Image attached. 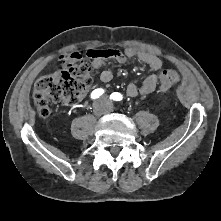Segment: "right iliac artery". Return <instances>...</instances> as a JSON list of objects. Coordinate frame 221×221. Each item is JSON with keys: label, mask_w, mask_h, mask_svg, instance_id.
I'll return each instance as SVG.
<instances>
[{"label": "right iliac artery", "mask_w": 221, "mask_h": 221, "mask_svg": "<svg viewBox=\"0 0 221 221\" xmlns=\"http://www.w3.org/2000/svg\"><path fill=\"white\" fill-rule=\"evenodd\" d=\"M104 93V90L102 88L95 89L91 93V99H97Z\"/></svg>", "instance_id": "obj_1"}]
</instances>
